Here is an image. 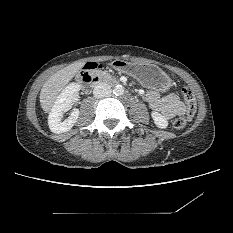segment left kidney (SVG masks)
I'll return each mask as SVG.
<instances>
[{
	"instance_id": "1",
	"label": "left kidney",
	"mask_w": 233,
	"mask_h": 233,
	"mask_svg": "<svg viewBox=\"0 0 233 233\" xmlns=\"http://www.w3.org/2000/svg\"><path fill=\"white\" fill-rule=\"evenodd\" d=\"M151 116H152V119L154 120V123L156 124L157 127L161 128V129L167 128L168 121L162 114H160L158 112H152Z\"/></svg>"
}]
</instances>
